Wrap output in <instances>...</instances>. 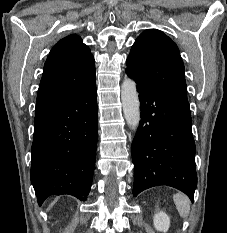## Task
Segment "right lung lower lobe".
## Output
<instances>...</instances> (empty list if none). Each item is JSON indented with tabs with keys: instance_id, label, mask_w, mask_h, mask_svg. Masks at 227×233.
<instances>
[{
	"instance_id": "right-lung-lower-lobe-1",
	"label": "right lung lower lobe",
	"mask_w": 227,
	"mask_h": 233,
	"mask_svg": "<svg viewBox=\"0 0 227 233\" xmlns=\"http://www.w3.org/2000/svg\"><path fill=\"white\" fill-rule=\"evenodd\" d=\"M96 83L35 115L31 183L38 204L51 195L86 200L97 145Z\"/></svg>"
}]
</instances>
